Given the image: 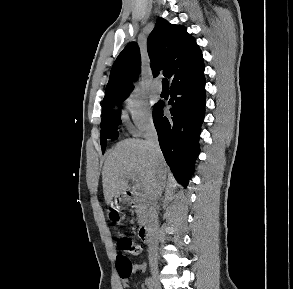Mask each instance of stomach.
I'll use <instances>...</instances> for the list:
<instances>
[{"mask_svg": "<svg viewBox=\"0 0 293 289\" xmlns=\"http://www.w3.org/2000/svg\"><path fill=\"white\" fill-rule=\"evenodd\" d=\"M126 203H127V199L125 198L124 195H122V196L117 195V196L115 197V204H116V206H118V207H122V206H124Z\"/></svg>", "mask_w": 293, "mask_h": 289, "instance_id": "0dacf381", "label": "stomach"}]
</instances>
